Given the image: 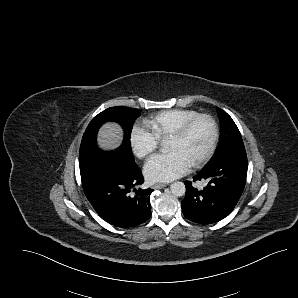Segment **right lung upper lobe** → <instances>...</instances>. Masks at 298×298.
Listing matches in <instances>:
<instances>
[{
  "instance_id": "obj_1",
  "label": "right lung upper lobe",
  "mask_w": 298,
  "mask_h": 298,
  "mask_svg": "<svg viewBox=\"0 0 298 298\" xmlns=\"http://www.w3.org/2000/svg\"><path fill=\"white\" fill-rule=\"evenodd\" d=\"M114 160H117V158L114 157V156L102 157V158L100 159V164L103 165V164H106V163L111 162V161H114Z\"/></svg>"
}]
</instances>
